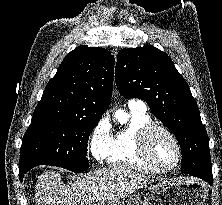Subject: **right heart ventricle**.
Masks as SVG:
<instances>
[{
	"label": "right heart ventricle",
	"instance_id": "obj_1",
	"mask_svg": "<svg viewBox=\"0 0 222 205\" xmlns=\"http://www.w3.org/2000/svg\"><path fill=\"white\" fill-rule=\"evenodd\" d=\"M130 109V120L127 125L118 130L111 138L106 154L107 162L112 166L130 167L145 172L156 173L140 156L137 146L138 132L151 124L145 111L136 108Z\"/></svg>",
	"mask_w": 222,
	"mask_h": 205
}]
</instances>
